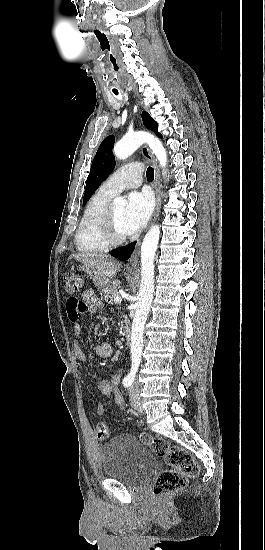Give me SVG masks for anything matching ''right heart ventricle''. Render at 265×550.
<instances>
[{
	"instance_id": "1",
	"label": "right heart ventricle",
	"mask_w": 265,
	"mask_h": 550,
	"mask_svg": "<svg viewBox=\"0 0 265 550\" xmlns=\"http://www.w3.org/2000/svg\"><path fill=\"white\" fill-rule=\"evenodd\" d=\"M113 195L105 192L101 187L87 202L80 218L75 244L81 252H106L110 244L101 231V220Z\"/></svg>"
}]
</instances>
